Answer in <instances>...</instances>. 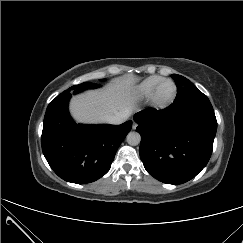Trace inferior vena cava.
<instances>
[{
    "mask_svg": "<svg viewBox=\"0 0 243 243\" xmlns=\"http://www.w3.org/2000/svg\"><path fill=\"white\" fill-rule=\"evenodd\" d=\"M128 118L126 113H118L115 115H110L105 118V121L109 124H121Z\"/></svg>",
    "mask_w": 243,
    "mask_h": 243,
    "instance_id": "inferior-vena-cava-1",
    "label": "inferior vena cava"
}]
</instances>
